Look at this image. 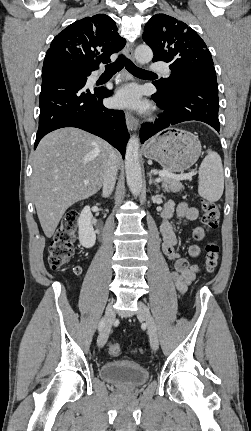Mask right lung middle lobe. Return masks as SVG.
<instances>
[{"instance_id": "1", "label": "right lung middle lobe", "mask_w": 251, "mask_h": 431, "mask_svg": "<svg viewBox=\"0 0 251 431\" xmlns=\"http://www.w3.org/2000/svg\"><path fill=\"white\" fill-rule=\"evenodd\" d=\"M50 70H66V71H71L79 76H81L82 78H86L87 76V71L84 70L83 68H80L72 63L66 62V61H55L53 62L49 67L47 68H43L42 71L46 72V71H50Z\"/></svg>"}]
</instances>
